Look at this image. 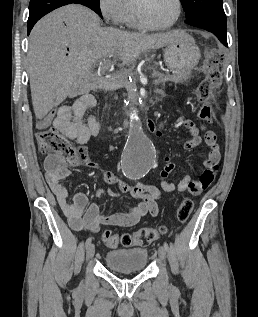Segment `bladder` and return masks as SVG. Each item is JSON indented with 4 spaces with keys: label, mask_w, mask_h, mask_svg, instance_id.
Instances as JSON below:
<instances>
[{
    "label": "bladder",
    "mask_w": 258,
    "mask_h": 317,
    "mask_svg": "<svg viewBox=\"0 0 258 317\" xmlns=\"http://www.w3.org/2000/svg\"><path fill=\"white\" fill-rule=\"evenodd\" d=\"M105 264L116 271H141L148 262V251L145 248L110 250L104 257Z\"/></svg>",
    "instance_id": "bladder-1"
}]
</instances>
